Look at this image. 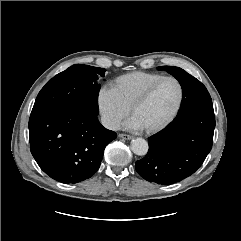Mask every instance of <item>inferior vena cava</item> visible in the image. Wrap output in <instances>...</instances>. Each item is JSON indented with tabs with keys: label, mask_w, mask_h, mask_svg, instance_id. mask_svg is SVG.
I'll return each mask as SVG.
<instances>
[{
	"label": "inferior vena cava",
	"mask_w": 241,
	"mask_h": 241,
	"mask_svg": "<svg viewBox=\"0 0 241 241\" xmlns=\"http://www.w3.org/2000/svg\"><path fill=\"white\" fill-rule=\"evenodd\" d=\"M101 123L105 128L110 130L117 131L120 129V122L117 119L112 118L110 116H106V115L102 116Z\"/></svg>",
	"instance_id": "1"
}]
</instances>
